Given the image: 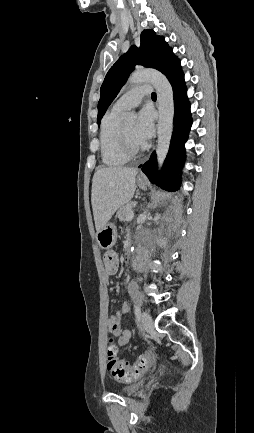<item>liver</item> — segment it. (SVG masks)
Segmentation results:
<instances>
[{"mask_svg":"<svg viewBox=\"0 0 254 433\" xmlns=\"http://www.w3.org/2000/svg\"><path fill=\"white\" fill-rule=\"evenodd\" d=\"M138 170L129 167H102L92 180L91 203L97 232L113 214L133 197Z\"/></svg>","mask_w":254,"mask_h":433,"instance_id":"liver-1","label":"liver"}]
</instances>
